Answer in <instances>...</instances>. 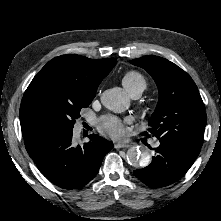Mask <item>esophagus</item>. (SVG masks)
<instances>
[{
	"instance_id": "esophagus-1",
	"label": "esophagus",
	"mask_w": 221,
	"mask_h": 221,
	"mask_svg": "<svg viewBox=\"0 0 221 221\" xmlns=\"http://www.w3.org/2000/svg\"><path fill=\"white\" fill-rule=\"evenodd\" d=\"M131 145L130 144H124V143H118L115 144V148L120 149V148H129Z\"/></svg>"
}]
</instances>
